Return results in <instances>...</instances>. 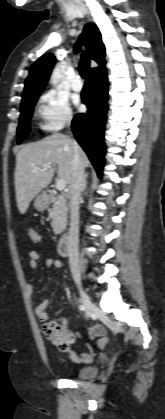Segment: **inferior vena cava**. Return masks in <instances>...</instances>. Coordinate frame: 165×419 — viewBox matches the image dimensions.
Instances as JSON below:
<instances>
[{
	"mask_svg": "<svg viewBox=\"0 0 165 419\" xmlns=\"http://www.w3.org/2000/svg\"><path fill=\"white\" fill-rule=\"evenodd\" d=\"M71 119H69L70 124ZM74 155L72 174L69 185L70 228L68 238L69 264L73 276L79 275V200L83 191L84 165L80 157L78 144L73 141Z\"/></svg>",
	"mask_w": 165,
	"mask_h": 419,
	"instance_id": "602c4592",
	"label": "inferior vena cava"
}]
</instances>
